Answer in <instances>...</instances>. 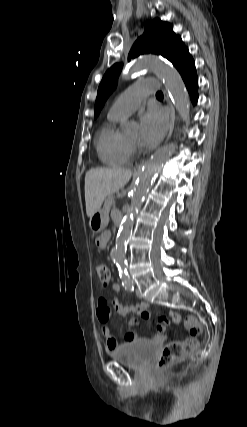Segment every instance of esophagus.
I'll return each mask as SVG.
<instances>
[{
  "mask_svg": "<svg viewBox=\"0 0 247 427\" xmlns=\"http://www.w3.org/2000/svg\"><path fill=\"white\" fill-rule=\"evenodd\" d=\"M169 107H170V124H169V132H168V136L166 138V142L170 139L172 133H173V129H174V124H175V109L172 106V104L168 103ZM144 166V163H141L139 165H137L134 168L135 172H140L142 170Z\"/></svg>",
  "mask_w": 247,
  "mask_h": 427,
  "instance_id": "1",
  "label": "esophagus"
}]
</instances>
